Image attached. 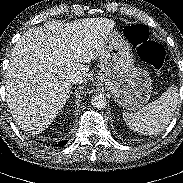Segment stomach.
I'll list each match as a JSON object with an SVG mask.
<instances>
[{
  "label": "stomach",
  "mask_w": 183,
  "mask_h": 183,
  "mask_svg": "<svg viewBox=\"0 0 183 183\" xmlns=\"http://www.w3.org/2000/svg\"><path fill=\"white\" fill-rule=\"evenodd\" d=\"M98 84L125 110L143 107L150 99L152 82L146 70L136 67L130 43L112 30L99 54Z\"/></svg>",
  "instance_id": "stomach-1"
}]
</instances>
